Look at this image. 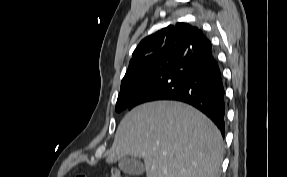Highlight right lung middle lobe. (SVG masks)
Segmentation results:
<instances>
[{"mask_svg":"<svg viewBox=\"0 0 287 177\" xmlns=\"http://www.w3.org/2000/svg\"><path fill=\"white\" fill-rule=\"evenodd\" d=\"M180 60L178 56H168L122 81L115 110L120 112L128 108L149 85L178 64Z\"/></svg>","mask_w":287,"mask_h":177,"instance_id":"right-lung-middle-lobe-1","label":"right lung middle lobe"}]
</instances>
